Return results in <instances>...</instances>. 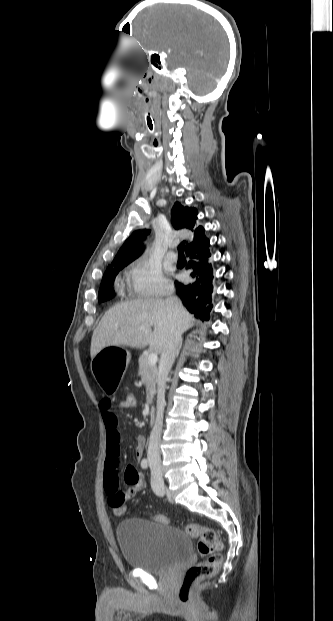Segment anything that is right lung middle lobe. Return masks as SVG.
Instances as JSON below:
<instances>
[{"mask_svg": "<svg viewBox=\"0 0 333 621\" xmlns=\"http://www.w3.org/2000/svg\"><path fill=\"white\" fill-rule=\"evenodd\" d=\"M127 264L108 267L106 272L103 275L98 300L99 302H104L112 299L115 296V292L113 289V281L117 273L122 270Z\"/></svg>", "mask_w": 333, "mask_h": 621, "instance_id": "right-lung-middle-lobe-1", "label": "right lung middle lobe"}]
</instances>
